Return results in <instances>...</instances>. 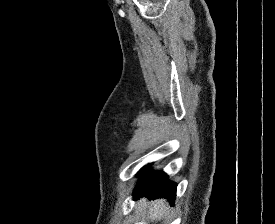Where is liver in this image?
Segmentation results:
<instances>
[{
	"label": "liver",
	"mask_w": 275,
	"mask_h": 224,
	"mask_svg": "<svg viewBox=\"0 0 275 224\" xmlns=\"http://www.w3.org/2000/svg\"><path fill=\"white\" fill-rule=\"evenodd\" d=\"M147 206V200L142 198L138 202L139 210ZM166 213V205L163 199H157L149 203L148 218L152 221L160 220Z\"/></svg>",
	"instance_id": "1"
}]
</instances>
